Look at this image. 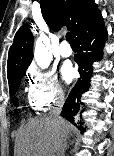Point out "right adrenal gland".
<instances>
[{
	"mask_svg": "<svg viewBox=\"0 0 114 156\" xmlns=\"http://www.w3.org/2000/svg\"><path fill=\"white\" fill-rule=\"evenodd\" d=\"M65 148H68V144H67V142L65 141Z\"/></svg>",
	"mask_w": 114,
	"mask_h": 156,
	"instance_id": "1",
	"label": "right adrenal gland"
}]
</instances>
